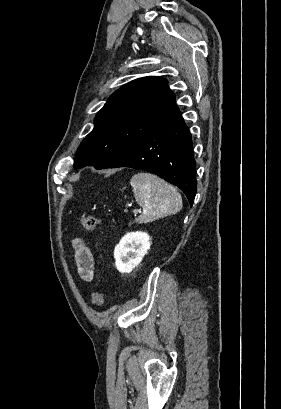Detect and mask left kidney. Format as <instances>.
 Listing matches in <instances>:
<instances>
[{
  "label": "left kidney",
  "instance_id": "1",
  "mask_svg": "<svg viewBox=\"0 0 281 409\" xmlns=\"http://www.w3.org/2000/svg\"><path fill=\"white\" fill-rule=\"evenodd\" d=\"M151 247L147 233H127L114 249L116 269L120 273H131Z\"/></svg>",
  "mask_w": 281,
  "mask_h": 409
}]
</instances>
